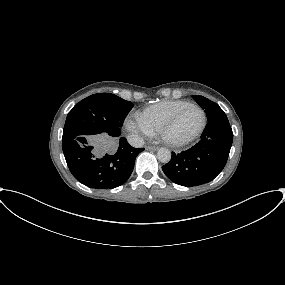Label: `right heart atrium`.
<instances>
[{
    "instance_id": "d8ad5b80",
    "label": "right heart atrium",
    "mask_w": 285,
    "mask_h": 285,
    "mask_svg": "<svg viewBox=\"0 0 285 285\" xmlns=\"http://www.w3.org/2000/svg\"><path fill=\"white\" fill-rule=\"evenodd\" d=\"M125 127L136 141H140L143 136H152L154 133L138 116L127 117Z\"/></svg>"
}]
</instances>
